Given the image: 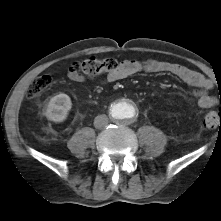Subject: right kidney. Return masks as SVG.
Returning <instances> with one entry per match:
<instances>
[{
  "label": "right kidney",
  "instance_id": "ca27d5eb",
  "mask_svg": "<svg viewBox=\"0 0 221 221\" xmlns=\"http://www.w3.org/2000/svg\"><path fill=\"white\" fill-rule=\"evenodd\" d=\"M72 108L68 95L60 93L50 99L46 108V117L56 123L63 122Z\"/></svg>",
  "mask_w": 221,
  "mask_h": 221
}]
</instances>
